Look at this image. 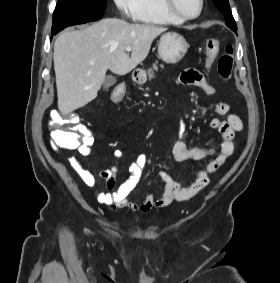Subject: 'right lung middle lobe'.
Masks as SVG:
<instances>
[{
  "label": "right lung middle lobe",
  "instance_id": "1",
  "mask_svg": "<svg viewBox=\"0 0 280 283\" xmlns=\"http://www.w3.org/2000/svg\"><path fill=\"white\" fill-rule=\"evenodd\" d=\"M107 0H58L53 13L52 33L76 24L97 21L104 15Z\"/></svg>",
  "mask_w": 280,
  "mask_h": 283
}]
</instances>
